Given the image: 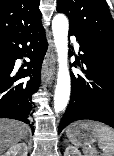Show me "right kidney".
Listing matches in <instances>:
<instances>
[{
    "label": "right kidney",
    "instance_id": "obj_1",
    "mask_svg": "<svg viewBox=\"0 0 114 156\" xmlns=\"http://www.w3.org/2000/svg\"><path fill=\"white\" fill-rule=\"evenodd\" d=\"M28 146L26 143H17L10 147L3 156H27Z\"/></svg>",
    "mask_w": 114,
    "mask_h": 156
}]
</instances>
